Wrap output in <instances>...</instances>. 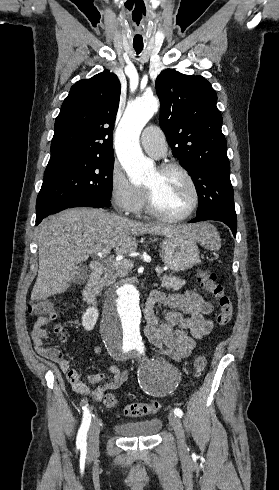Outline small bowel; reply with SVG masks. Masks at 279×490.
<instances>
[{
  "label": "small bowel",
  "mask_w": 279,
  "mask_h": 490,
  "mask_svg": "<svg viewBox=\"0 0 279 490\" xmlns=\"http://www.w3.org/2000/svg\"><path fill=\"white\" fill-rule=\"evenodd\" d=\"M158 306L167 308L164 321L159 319L156 311ZM212 309L213 305L209 301L194 292L166 294L153 291L144 307V334L158 355L178 362L189 357L196 348V342L211 333L213 322L207 315ZM51 322V318H38L31 327L30 338L41 357L59 365L74 391L99 401L107 391L118 389L129 379L128 369L120 370L113 366L108 373L88 375V382L97 385L91 389L59 349L44 346L50 340L46 326ZM92 351L94 355H101L103 347L96 345Z\"/></svg>",
  "instance_id": "obj_1"
}]
</instances>
